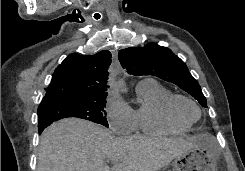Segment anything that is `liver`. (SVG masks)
Instances as JSON below:
<instances>
[{
  "label": "liver",
  "mask_w": 245,
  "mask_h": 171,
  "mask_svg": "<svg viewBox=\"0 0 245 171\" xmlns=\"http://www.w3.org/2000/svg\"><path fill=\"white\" fill-rule=\"evenodd\" d=\"M203 138H117L97 124L68 118L43 132L37 171H159ZM105 159L114 162L111 169Z\"/></svg>",
  "instance_id": "liver-1"
}]
</instances>
